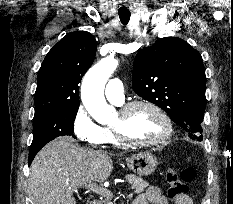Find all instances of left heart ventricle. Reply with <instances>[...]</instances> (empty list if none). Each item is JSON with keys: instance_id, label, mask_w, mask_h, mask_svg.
Returning <instances> with one entry per match:
<instances>
[{"instance_id": "left-heart-ventricle-1", "label": "left heart ventricle", "mask_w": 233, "mask_h": 204, "mask_svg": "<svg viewBox=\"0 0 233 204\" xmlns=\"http://www.w3.org/2000/svg\"><path fill=\"white\" fill-rule=\"evenodd\" d=\"M113 125H121L125 135L135 141H150L165 132L162 119L150 108L137 107L127 117L117 114Z\"/></svg>"}]
</instances>
